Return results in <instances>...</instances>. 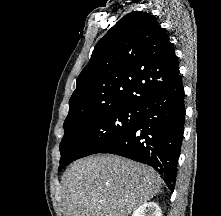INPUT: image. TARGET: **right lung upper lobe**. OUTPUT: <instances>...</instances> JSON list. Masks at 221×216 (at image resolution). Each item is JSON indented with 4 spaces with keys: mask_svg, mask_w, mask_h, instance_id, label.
<instances>
[{
    "mask_svg": "<svg viewBox=\"0 0 221 216\" xmlns=\"http://www.w3.org/2000/svg\"><path fill=\"white\" fill-rule=\"evenodd\" d=\"M178 74L164 28L147 12H131L96 44L77 78L64 125L106 109L139 107Z\"/></svg>",
    "mask_w": 221,
    "mask_h": 216,
    "instance_id": "obj_1",
    "label": "right lung upper lobe"
}]
</instances>
